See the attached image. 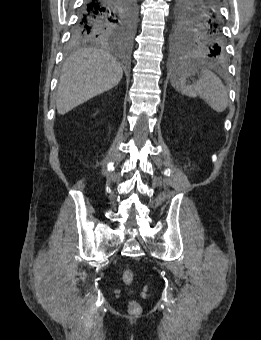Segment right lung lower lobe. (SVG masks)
I'll return each mask as SVG.
<instances>
[{
    "label": "right lung lower lobe",
    "mask_w": 261,
    "mask_h": 340,
    "mask_svg": "<svg viewBox=\"0 0 261 340\" xmlns=\"http://www.w3.org/2000/svg\"><path fill=\"white\" fill-rule=\"evenodd\" d=\"M125 2L126 0H84L76 24L81 27L103 15L116 14L120 8L125 7Z\"/></svg>",
    "instance_id": "1"
}]
</instances>
